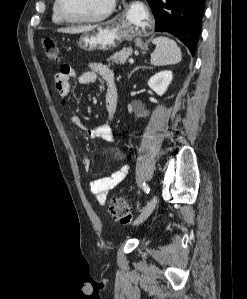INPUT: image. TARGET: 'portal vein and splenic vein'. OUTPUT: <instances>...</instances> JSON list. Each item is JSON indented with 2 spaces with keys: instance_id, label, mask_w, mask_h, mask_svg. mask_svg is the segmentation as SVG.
Masks as SVG:
<instances>
[{
  "instance_id": "18ae733b",
  "label": "portal vein and splenic vein",
  "mask_w": 247,
  "mask_h": 299,
  "mask_svg": "<svg viewBox=\"0 0 247 299\" xmlns=\"http://www.w3.org/2000/svg\"><path fill=\"white\" fill-rule=\"evenodd\" d=\"M129 63H130V64H133V63H134V60H133L132 58H130V59H129Z\"/></svg>"
}]
</instances>
